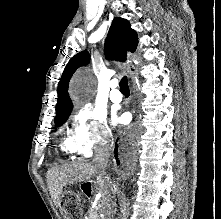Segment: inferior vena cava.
Listing matches in <instances>:
<instances>
[{"label": "inferior vena cava", "mask_w": 221, "mask_h": 219, "mask_svg": "<svg viewBox=\"0 0 221 219\" xmlns=\"http://www.w3.org/2000/svg\"><path fill=\"white\" fill-rule=\"evenodd\" d=\"M113 142L110 139H103L95 150V157L92 164L100 176H107L106 167L112 151ZM110 215V214H108Z\"/></svg>", "instance_id": "inferior-vena-cava-1"}]
</instances>
